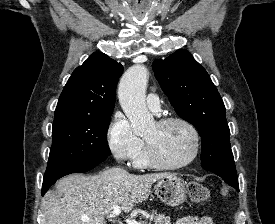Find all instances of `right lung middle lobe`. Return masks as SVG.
<instances>
[{
	"mask_svg": "<svg viewBox=\"0 0 275 224\" xmlns=\"http://www.w3.org/2000/svg\"><path fill=\"white\" fill-rule=\"evenodd\" d=\"M110 118L111 114L54 118L45 174L111 155L106 139Z\"/></svg>",
	"mask_w": 275,
	"mask_h": 224,
	"instance_id": "right-lung-middle-lobe-1",
	"label": "right lung middle lobe"
}]
</instances>
